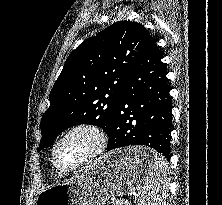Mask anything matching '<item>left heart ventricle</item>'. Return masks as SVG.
I'll return each mask as SVG.
<instances>
[{
	"instance_id": "obj_1",
	"label": "left heart ventricle",
	"mask_w": 222,
	"mask_h": 205,
	"mask_svg": "<svg viewBox=\"0 0 222 205\" xmlns=\"http://www.w3.org/2000/svg\"><path fill=\"white\" fill-rule=\"evenodd\" d=\"M95 139L87 132H77L66 138L56 152L60 166L68 168L80 162L94 147Z\"/></svg>"
}]
</instances>
